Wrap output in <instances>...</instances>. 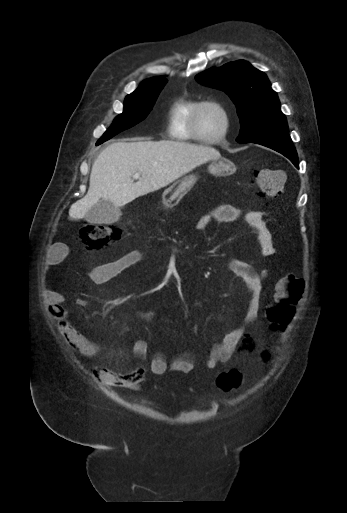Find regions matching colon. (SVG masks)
I'll return each mask as SVG.
<instances>
[{
    "mask_svg": "<svg viewBox=\"0 0 347 513\" xmlns=\"http://www.w3.org/2000/svg\"><path fill=\"white\" fill-rule=\"evenodd\" d=\"M252 183L257 187L261 199L277 198L284 187V175L280 170H253L250 174ZM81 240L91 249L107 248L121 239L122 229L117 225L85 223L80 228ZM305 291L304 279L290 274L282 277L276 284L274 298L267 309L270 327L278 333L286 330ZM259 356L264 361H271L276 356V349L271 344H264L259 349ZM217 386L225 392L240 387L242 375L237 370H230L218 375Z\"/></svg>",
    "mask_w": 347,
    "mask_h": 513,
    "instance_id": "colon-1",
    "label": "colon"
}]
</instances>
